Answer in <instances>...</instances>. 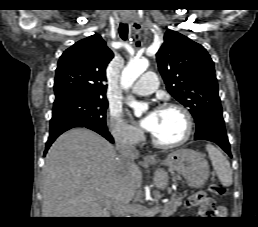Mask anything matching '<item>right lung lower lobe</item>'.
Returning <instances> with one entry per match:
<instances>
[{
  "label": "right lung lower lobe",
  "instance_id": "98d812e1",
  "mask_svg": "<svg viewBox=\"0 0 258 227\" xmlns=\"http://www.w3.org/2000/svg\"><path fill=\"white\" fill-rule=\"evenodd\" d=\"M74 127H86L88 129H91L99 133L103 137H105L111 143H113V137L111 136V134L108 132L107 129H97V128L89 127L76 120H72L68 118H54V119H51L50 121V133H49L48 141L46 143L45 153L47 152L51 144L55 141V139L60 134Z\"/></svg>",
  "mask_w": 258,
  "mask_h": 227
}]
</instances>
